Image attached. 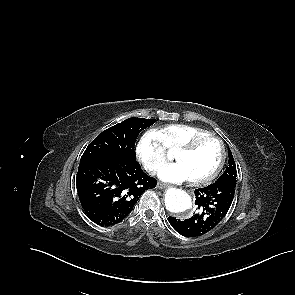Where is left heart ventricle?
<instances>
[{"label":"left heart ventricle","instance_id":"obj_1","mask_svg":"<svg viewBox=\"0 0 295 295\" xmlns=\"http://www.w3.org/2000/svg\"><path fill=\"white\" fill-rule=\"evenodd\" d=\"M175 158L188 167L193 179L202 178L216 168L220 159V147L217 141L208 139L190 153H176Z\"/></svg>","mask_w":295,"mask_h":295}]
</instances>
